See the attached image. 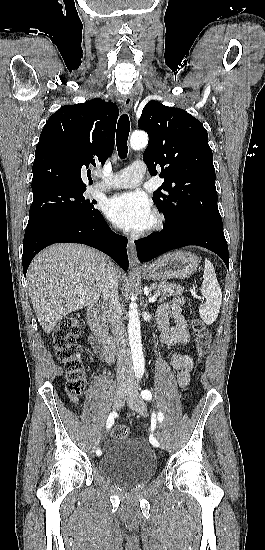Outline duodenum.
<instances>
[{
  "label": "duodenum",
  "instance_id": "duodenum-1",
  "mask_svg": "<svg viewBox=\"0 0 265 550\" xmlns=\"http://www.w3.org/2000/svg\"><path fill=\"white\" fill-rule=\"evenodd\" d=\"M100 303H93L87 309V322L93 334V346L108 351L116 349V340L111 338L100 319Z\"/></svg>",
  "mask_w": 265,
  "mask_h": 550
}]
</instances>
